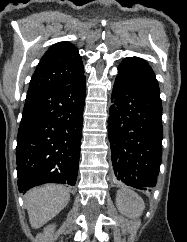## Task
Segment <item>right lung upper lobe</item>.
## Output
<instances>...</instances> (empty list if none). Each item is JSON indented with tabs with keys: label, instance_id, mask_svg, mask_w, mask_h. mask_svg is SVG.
I'll list each match as a JSON object with an SVG mask.
<instances>
[{
	"label": "right lung upper lobe",
	"instance_id": "1",
	"mask_svg": "<svg viewBox=\"0 0 187 242\" xmlns=\"http://www.w3.org/2000/svg\"><path fill=\"white\" fill-rule=\"evenodd\" d=\"M83 74L78 49L69 42L56 43L41 58L31 78L27 95L67 85Z\"/></svg>",
	"mask_w": 187,
	"mask_h": 242
}]
</instances>
